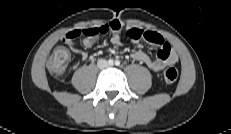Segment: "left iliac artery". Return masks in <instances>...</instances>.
Instances as JSON below:
<instances>
[{
	"label": "left iliac artery",
	"instance_id": "left-iliac-artery-1",
	"mask_svg": "<svg viewBox=\"0 0 231 134\" xmlns=\"http://www.w3.org/2000/svg\"><path fill=\"white\" fill-rule=\"evenodd\" d=\"M115 65H116V66H119V65H120V61H119V60H116V61H115Z\"/></svg>",
	"mask_w": 231,
	"mask_h": 134
}]
</instances>
